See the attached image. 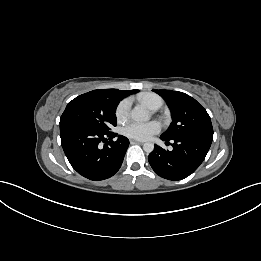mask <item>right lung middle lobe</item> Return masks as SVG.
I'll return each instance as SVG.
<instances>
[{
    "mask_svg": "<svg viewBox=\"0 0 261 261\" xmlns=\"http://www.w3.org/2000/svg\"><path fill=\"white\" fill-rule=\"evenodd\" d=\"M119 101L108 89L82 94L68 103L60 118V126L86 127L108 133L111 126L117 125L115 112Z\"/></svg>",
    "mask_w": 261,
    "mask_h": 261,
    "instance_id": "dd1d6c3e",
    "label": "right lung middle lobe"
}]
</instances>
